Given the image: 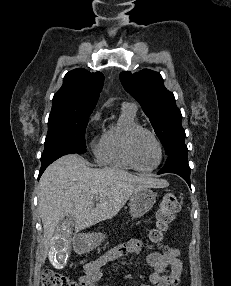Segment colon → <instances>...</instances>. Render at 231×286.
Masks as SVG:
<instances>
[{
  "instance_id": "5ec220e1",
  "label": "colon",
  "mask_w": 231,
  "mask_h": 286,
  "mask_svg": "<svg viewBox=\"0 0 231 286\" xmlns=\"http://www.w3.org/2000/svg\"><path fill=\"white\" fill-rule=\"evenodd\" d=\"M180 212V204L174 194H166L156 213V227L151 230L149 238L151 242L158 243L162 241L165 232L176 219ZM42 286H79V284L67 276L47 270L42 276Z\"/></svg>"
}]
</instances>
